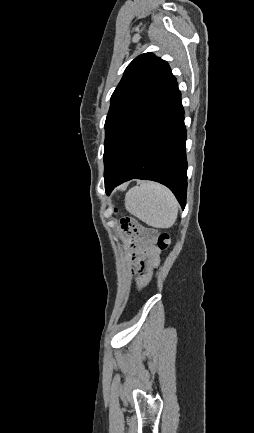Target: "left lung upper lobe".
Listing matches in <instances>:
<instances>
[{"mask_svg":"<svg viewBox=\"0 0 254 433\" xmlns=\"http://www.w3.org/2000/svg\"><path fill=\"white\" fill-rule=\"evenodd\" d=\"M175 83L167 62L152 53L139 55L128 65L111 96L105 122V181L115 172L141 126Z\"/></svg>","mask_w":254,"mask_h":433,"instance_id":"obj_1","label":"left lung upper lobe"}]
</instances>
